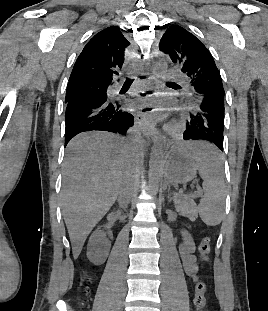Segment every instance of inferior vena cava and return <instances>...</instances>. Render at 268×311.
<instances>
[{
  "label": "inferior vena cava",
  "instance_id": "obj_1",
  "mask_svg": "<svg viewBox=\"0 0 268 311\" xmlns=\"http://www.w3.org/2000/svg\"><path fill=\"white\" fill-rule=\"evenodd\" d=\"M132 155L136 152V147H131ZM133 157V156H132ZM136 170V164L132 158V162L129 166L125 180L123 181L119 191V202L121 205L126 206L134 192V172Z\"/></svg>",
  "mask_w": 268,
  "mask_h": 311
}]
</instances>
